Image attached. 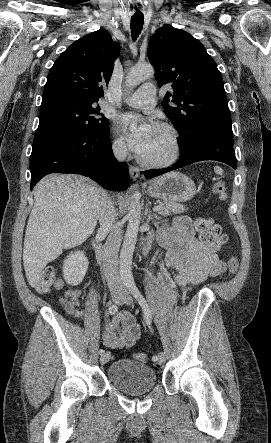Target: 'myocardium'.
<instances>
[{"label": "myocardium", "instance_id": "f54148a6", "mask_svg": "<svg viewBox=\"0 0 271 443\" xmlns=\"http://www.w3.org/2000/svg\"><path fill=\"white\" fill-rule=\"evenodd\" d=\"M155 126L159 129L165 131L168 134V136L171 140V145H172L171 152L169 153L168 156L163 157V158H158V159H150V158L143 156L142 162L145 165L150 166V167H154V168L167 167V166L174 164L181 156L182 144H181L180 136H179L177 129L169 123L158 122L155 124Z\"/></svg>", "mask_w": 271, "mask_h": 443}]
</instances>
